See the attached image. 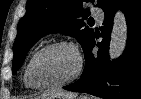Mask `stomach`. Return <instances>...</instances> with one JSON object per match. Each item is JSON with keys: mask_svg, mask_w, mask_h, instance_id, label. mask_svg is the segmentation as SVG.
I'll list each match as a JSON object with an SVG mask.
<instances>
[{"mask_svg": "<svg viewBox=\"0 0 141 99\" xmlns=\"http://www.w3.org/2000/svg\"><path fill=\"white\" fill-rule=\"evenodd\" d=\"M36 99H51V98H48V97H38V98H36Z\"/></svg>", "mask_w": 141, "mask_h": 99, "instance_id": "1", "label": "stomach"}]
</instances>
